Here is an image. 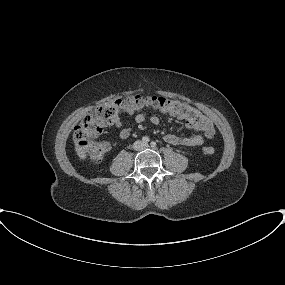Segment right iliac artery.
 <instances>
[{
    "mask_svg": "<svg viewBox=\"0 0 285 285\" xmlns=\"http://www.w3.org/2000/svg\"><path fill=\"white\" fill-rule=\"evenodd\" d=\"M149 138L147 136L142 137V142L147 144L149 142Z\"/></svg>",
    "mask_w": 285,
    "mask_h": 285,
    "instance_id": "right-iliac-artery-1",
    "label": "right iliac artery"
}]
</instances>
